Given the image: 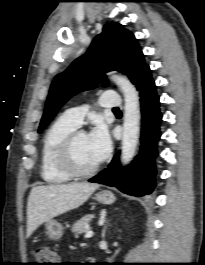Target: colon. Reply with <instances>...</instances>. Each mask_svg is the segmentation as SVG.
<instances>
[{
	"label": "colon",
	"instance_id": "1",
	"mask_svg": "<svg viewBox=\"0 0 205 265\" xmlns=\"http://www.w3.org/2000/svg\"><path fill=\"white\" fill-rule=\"evenodd\" d=\"M36 260L39 262L38 265H56L58 255L54 251L48 248H40L35 253Z\"/></svg>",
	"mask_w": 205,
	"mask_h": 265
}]
</instances>
